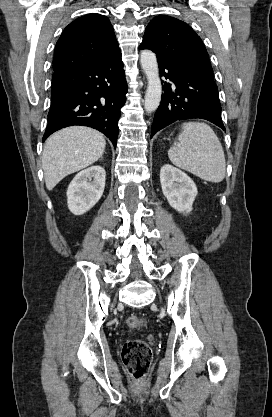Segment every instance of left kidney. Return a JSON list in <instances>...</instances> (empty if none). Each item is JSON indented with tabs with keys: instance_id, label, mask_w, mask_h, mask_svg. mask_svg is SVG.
<instances>
[{
	"instance_id": "left-kidney-1",
	"label": "left kidney",
	"mask_w": 272,
	"mask_h": 417,
	"mask_svg": "<svg viewBox=\"0 0 272 417\" xmlns=\"http://www.w3.org/2000/svg\"><path fill=\"white\" fill-rule=\"evenodd\" d=\"M160 182L169 205L180 213H190L198 193L193 180L180 169L165 164L160 170Z\"/></svg>"
}]
</instances>
